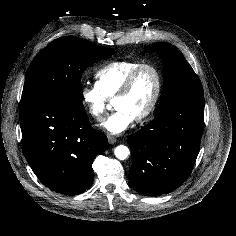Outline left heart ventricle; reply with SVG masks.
Instances as JSON below:
<instances>
[{
    "label": "left heart ventricle",
    "mask_w": 236,
    "mask_h": 236,
    "mask_svg": "<svg viewBox=\"0 0 236 236\" xmlns=\"http://www.w3.org/2000/svg\"><path fill=\"white\" fill-rule=\"evenodd\" d=\"M155 91V74L150 69H144L136 78L129 93L114 101L113 105L116 109H124L135 118L149 107Z\"/></svg>",
    "instance_id": "obj_1"
}]
</instances>
